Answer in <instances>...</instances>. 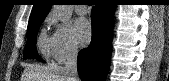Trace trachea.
<instances>
[{"label":"trachea","mask_w":169,"mask_h":81,"mask_svg":"<svg viewBox=\"0 0 169 81\" xmlns=\"http://www.w3.org/2000/svg\"><path fill=\"white\" fill-rule=\"evenodd\" d=\"M83 3H84V4H82V5H90L91 2L86 1V2H83Z\"/></svg>","instance_id":"3493384b"}]
</instances>
